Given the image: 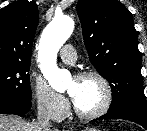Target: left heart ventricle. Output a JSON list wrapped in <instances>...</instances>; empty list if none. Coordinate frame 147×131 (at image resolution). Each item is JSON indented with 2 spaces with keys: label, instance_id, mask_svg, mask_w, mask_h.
Here are the masks:
<instances>
[{
  "label": "left heart ventricle",
  "instance_id": "obj_1",
  "mask_svg": "<svg viewBox=\"0 0 147 131\" xmlns=\"http://www.w3.org/2000/svg\"><path fill=\"white\" fill-rule=\"evenodd\" d=\"M67 89L70 94L77 92L76 107L83 112L97 109L103 100V91L95 79H75L69 82Z\"/></svg>",
  "mask_w": 147,
  "mask_h": 131
}]
</instances>
